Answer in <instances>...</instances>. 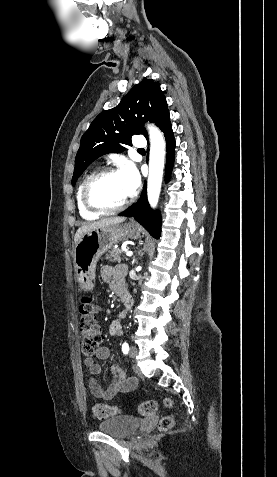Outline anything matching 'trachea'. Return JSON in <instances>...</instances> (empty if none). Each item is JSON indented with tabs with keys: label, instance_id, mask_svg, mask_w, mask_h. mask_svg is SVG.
I'll return each instance as SVG.
<instances>
[{
	"label": "trachea",
	"instance_id": "1",
	"mask_svg": "<svg viewBox=\"0 0 277 477\" xmlns=\"http://www.w3.org/2000/svg\"><path fill=\"white\" fill-rule=\"evenodd\" d=\"M138 151H139V152H144L145 150H144V149H139Z\"/></svg>",
	"mask_w": 277,
	"mask_h": 477
}]
</instances>
